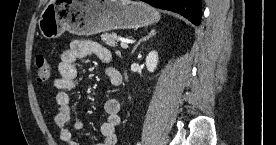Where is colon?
<instances>
[{
  "instance_id": "5ec220e1",
  "label": "colon",
  "mask_w": 276,
  "mask_h": 145,
  "mask_svg": "<svg viewBox=\"0 0 276 145\" xmlns=\"http://www.w3.org/2000/svg\"><path fill=\"white\" fill-rule=\"evenodd\" d=\"M36 74L39 82H46L51 76V66L48 60L43 56L39 55L36 58Z\"/></svg>"
}]
</instances>
